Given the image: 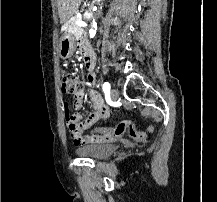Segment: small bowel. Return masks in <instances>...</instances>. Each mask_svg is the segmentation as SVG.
<instances>
[{"label": "small bowel", "instance_id": "obj_1", "mask_svg": "<svg viewBox=\"0 0 217 202\" xmlns=\"http://www.w3.org/2000/svg\"><path fill=\"white\" fill-rule=\"evenodd\" d=\"M92 56L95 63V53L92 51ZM87 82L89 85H94L96 82L95 76H90L87 74ZM87 97L90 101L92 111L89 116L83 119V106L84 101L81 98L76 99L72 106L75 112L71 114L76 116L75 130L71 133V141L75 146L89 145V144H102L115 141L118 136L116 131H84V126H91L93 123L99 120H109L111 118V111L107 105H105L103 98L96 91L87 92Z\"/></svg>", "mask_w": 217, "mask_h": 202}]
</instances>
